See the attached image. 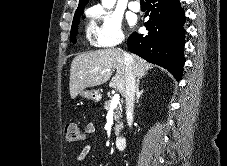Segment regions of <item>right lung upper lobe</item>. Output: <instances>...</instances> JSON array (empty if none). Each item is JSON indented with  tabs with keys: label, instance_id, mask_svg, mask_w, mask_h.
<instances>
[{
	"label": "right lung upper lobe",
	"instance_id": "obj_1",
	"mask_svg": "<svg viewBox=\"0 0 227 166\" xmlns=\"http://www.w3.org/2000/svg\"><path fill=\"white\" fill-rule=\"evenodd\" d=\"M88 1L89 0H79L78 8H83L88 3Z\"/></svg>",
	"mask_w": 227,
	"mask_h": 166
}]
</instances>
